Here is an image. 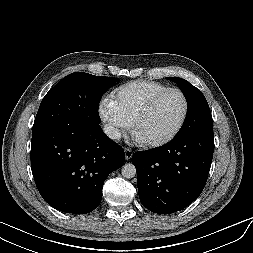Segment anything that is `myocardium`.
Listing matches in <instances>:
<instances>
[{
  "mask_svg": "<svg viewBox=\"0 0 253 253\" xmlns=\"http://www.w3.org/2000/svg\"><path fill=\"white\" fill-rule=\"evenodd\" d=\"M169 93H178L182 97V100H183V103H184V109H183L182 116H181L178 124L176 125V127L168 135H166L165 137L160 138V139L145 141L144 144L146 146L161 147V146H164V145L168 144L181 132L182 128L185 125V122H186L187 116H188V112H189L188 99H187L185 93L181 89H179V88H167V89L155 94L146 103V105L143 107V109L141 110V112L138 114V116L136 117V119L133 122V132H134V134L137 133V130H138L139 126L144 122V120L147 118V116L151 113L152 109L157 104V102L163 96H165Z\"/></svg>",
  "mask_w": 253,
  "mask_h": 253,
  "instance_id": "myocardium-1",
  "label": "myocardium"
}]
</instances>
